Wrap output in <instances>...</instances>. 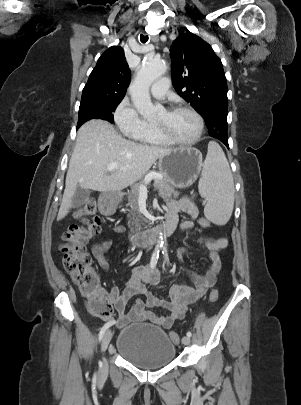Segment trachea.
<instances>
[{
    "mask_svg": "<svg viewBox=\"0 0 301 405\" xmlns=\"http://www.w3.org/2000/svg\"><path fill=\"white\" fill-rule=\"evenodd\" d=\"M140 41H141L142 43H146V42L148 41V36L140 35Z\"/></svg>",
    "mask_w": 301,
    "mask_h": 405,
    "instance_id": "obj_1",
    "label": "trachea"
}]
</instances>
